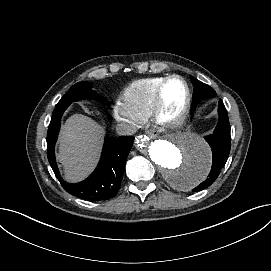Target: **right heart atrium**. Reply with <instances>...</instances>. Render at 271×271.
<instances>
[{
    "mask_svg": "<svg viewBox=\"0 0 271 271\" xmlns=\"http://www.w3.org/2000/svg\"><path fill=\"white\" fill-rule=\"evenodd\" d=\"M113 114L117 120L127 121L135 129L139 122L135 120L124 107L121 101H116L113 106Z\"/></svg>",
    "mask_w": 271,
    "mask_h": 271,
    "instance_id": "right-heart-atrium-1",
    "label": "right heart atrium"
}]
</instances>
